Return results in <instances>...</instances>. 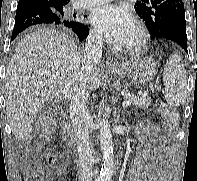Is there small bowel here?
I'll use <instances>...</instances> for the list:
<instances>
[{"label":"small bowel","instance_id":"1","mask_svg":"<svg viewBox=\"0 0 197 181\" xmlns=\"http://www.w3.org/2000/svg\"><path fill=\"white\" fill-rule=\"evenodd\" d=\"M167 135L160 133L157 125H140L137 129L139 146L137 156L130 163L125 181H171L173 162L172 146Z\"/></svg>","mask_w":197,"mask_h":181}]
</instances>
